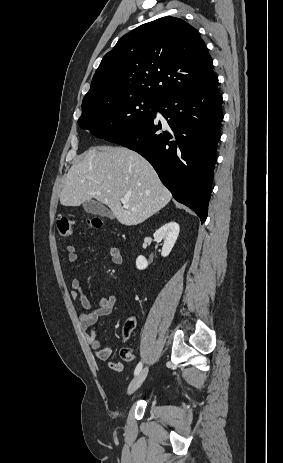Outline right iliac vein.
Segmentation results:
<instances>
[{"mask_svg":"<svg viewBox=\"0 0 283 463\" xmlns=\"http://www.w3.org/2000/svg\"><path fill=\"white\" fill-rule=\"evenodd\" d=\"M148 374V368L142 369L131 381L128 387V394H133L144 382L146 376Z\"/></svg>","mask_w":283,"mask_h":463,"instance_id":"1","label":"right iliac vein"}]
</instances>
